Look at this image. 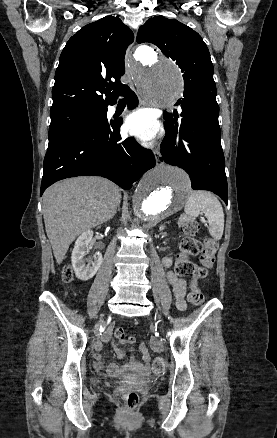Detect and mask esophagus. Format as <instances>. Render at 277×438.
Returning a JSON list of instances; mask_svg holds the SVG:
<instances>
[{
  "label": "esophagus",
  "mask_w": 277,
  "mask_h": 438,
  "mask_svg": "<svg viewBox=\"0 0 277 438\" xmlns=\"http://www.w3.org/2000/svg\"><path fill=\"white\" fill-rule=\"evenodd\" d=\"M132 51H133V49H131V48H128V50H127V55H131ZM140 102H142V100H141V99H140Z\"/></svg>",
  "instance_id": "esophagus-1"
}]
</instances>
